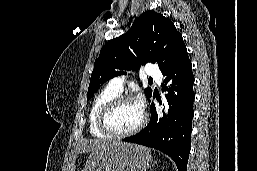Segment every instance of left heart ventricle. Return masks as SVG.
<instances>
[{"instance_id":"b2bd125f","label":"left heart ventricle","mask_w":257,"mask_h":171,"mask_svg":"<svg viewBox=\"0 0 257 171\" xmlns=\"http://www.w3.org/2000/svg\"><path fill=\"white\" fill-rule=\"evenodd\" d=\"M142 112L135 103H123L117 106L109 116V125L116 132L133 129L141 120Z\"/></svg>"}]
</instances>
